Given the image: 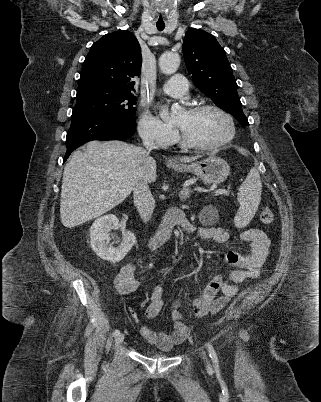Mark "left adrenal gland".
Wrapping results in <instances>:
<instances>
[{
  "label": "left adrenal gland",
  "instance_id": "left-adrenal-gland-1",
  "mask_svg": "<svg viewBox=\"0 0 321 402\" xmlns=\"http://www.w3.org/2000/svg\"><path fill=\"white\" fill-rule=\"evenodd\" d=\"M190 193H191V190L189 188H184L183 190L180 191L179 197L182 200H187L190 197Z\"/></svg>",
  "mask_w": 321,
  "mask_h": 402
}]
</instances>
